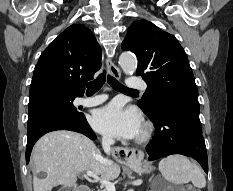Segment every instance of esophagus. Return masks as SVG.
<instances>
[{
	"instance_id": "1",
	"label": "esophagus",
	"mask_w": 233,
	"mask_h": 191,
	"mask_svg": "<svg viewBox=\"0 0 233 191\" xmlns=\"http://www.w3.org/2000/svg\"><path fill=\"white\" fill-rule=\"evenodd\" d=\"M109 74L116 79H120L121 71L111 59L106 60ZM115 158L119 164L137 163L143 158V152L132 148L115 147Z\"/></svg>"
}]
</instances>
